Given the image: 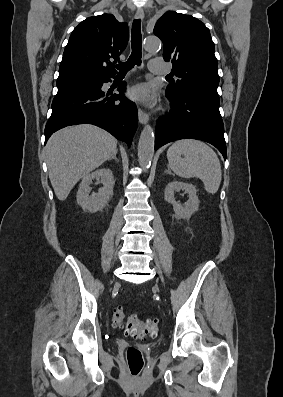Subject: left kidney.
<instances>
[{"label":"left kidney","mask_w":283,"mask_h":397,"mask_svg":"<svg viewBox=\"0 0 283 397\" xmlns=\"http://www.w3.org/2000/svg\"><path fill=\"white\" fill-rule=\"evenodd\" d=\"M180 190H185L189 195V200L184 205L176 202L174 197V193ZM164 198L166 202L173 205L175 217L178 219H189L199 208L200 201L196 194V188L192 184L177 181L170 182L165 188Z\"/></svg>","instance_id":"obj_1"}]
</instances>
